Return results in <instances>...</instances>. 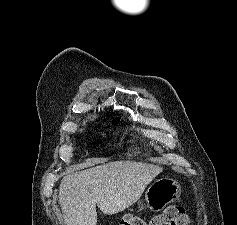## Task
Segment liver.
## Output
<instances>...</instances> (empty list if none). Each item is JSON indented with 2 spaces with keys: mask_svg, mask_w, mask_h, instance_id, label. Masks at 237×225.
<instances>
[{
  "mask_svg": "<svg viewBox=\"0 0 237 225\" xmlns=\"http://www.w3.org/2000/svg\"><path fill=\"white\" fill-rule=\"evenodd\" d=\"M162 171L152 164L118 161L65 176L59 187L65 224L96 225V205L106 215L124 211Z\"/></svg>",
  "mask_w": 237,
  "mask_h": 225,
  "instance_id": "liver-1",
  "label": "liver"
}]
</instances>
